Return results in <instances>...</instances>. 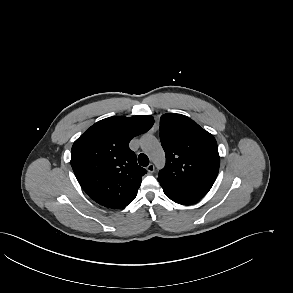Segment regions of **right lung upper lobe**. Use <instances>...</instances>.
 <instances>
[{"instance_id":"obj_1","label":"right lung upper lobe","mask_w":293,"mask_h":293,"mask_svg":"<svg viewBox=\"0 0 293 293\" xmlns=\"http://www.w3.org/2000/svg\"><path fill=\"white\" fill-rule=\"evenodd\" d=\"M153 124L150 115L109 117L74 142L71 166L80 186L95 202L119 209L134 200L146 170L137 164L129 142Z\"/></svg>"}]
</instances>
